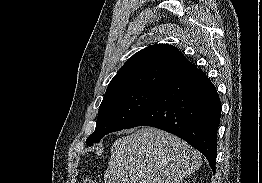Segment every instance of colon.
Wrapping results in <instances>:
<instances>
[{"label": "colon", "instance_id": "obj_1", "mask_svg": "<svg viewBox=\"0 0 262 183\" xmlns=\"http://www.w3.org/2000/svg\"><path fill=\"white\" fill-rule=\"evenodd\" d=\"M82 183H98V181L92 178H85Z\"/></svg>", "mask_w": 262, "mask_h": 183}]
</instances>
